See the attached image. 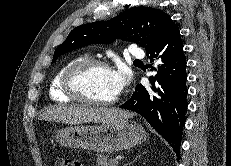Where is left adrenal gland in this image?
I'll return each instance as SVG.
<instances>
[{
  "label": "left adrenal gland",
  "instance_id": "a2214340",
  "mask_svg": "<svg viewBox=\"0 0 231 166\" xmlns=\"http://www.w3.org/2000/svg\"><path fill=\"white\" fill-rule=\"evenodd\" d=\"M146 152H143L142 154H140V155H138L132 162H130V164H132L134 161H136L137 160V158H140L141 157V155H144ZM125 166H127V165H125Z\"/></svg>",
  "mask_w": 231,
  "mask_h": 166
}]
</instances>
